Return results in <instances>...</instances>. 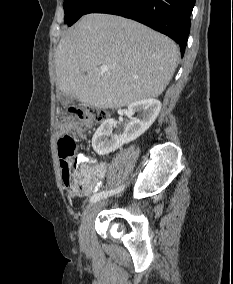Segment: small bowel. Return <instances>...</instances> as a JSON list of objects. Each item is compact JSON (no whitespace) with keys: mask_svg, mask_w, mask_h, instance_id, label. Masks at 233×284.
I'll return each mask as SVG.
<instances>
[{"mask_svg":"<svg viewBox=\"0 0 233 284\" xmlns=\"http://www.w3.org/2000/svg\"><path fill=\"white\" fill-rule=\"evenodd\" d=\"M76 134L80 138H84V134L81 131H77ZM75 160L76 163L81 167L82 171L92 177L93 185L89 193H93L98 190L103 183L106 165L104 163H99L83 154L78 155Z\"/></svg>","mask_w":233,"mask_h":284,"instance_id":"1","label":"small bowel"}]
</instances>
